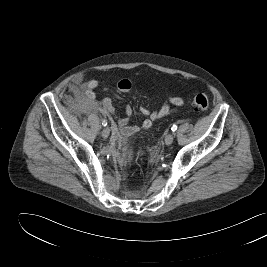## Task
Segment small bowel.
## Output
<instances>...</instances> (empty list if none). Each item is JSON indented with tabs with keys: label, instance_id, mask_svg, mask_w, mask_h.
Listing matches in <instances>:
<instances>
[{
	"label": "small bowel",
	"instance_id": "small-bowel-1",
	"mask_svg": "<svg viewBox=\"0 0 267 267\" xmlns=\"http://www.w3.org/2000/svg\"><path fill=\"white\" fill-rule=\"evenodd\" d=\"M98 86V81L95 79L83 82L80 77L73 80V83L69 85L68 90L75 96H81L85 104L91 110L99 111L103 115L107 116L112 122V128L115 134L120 137H128L141 128L148 129L154 122L175 113V110L171 106L183 107L186 102L184 98L179 96L168 97L158 109L150 110L148 108H140L139 113L146 117L140 126H130L129 121L133 115V109L130 106L125 108V117H119L116 114L115 108L112 104V100L109 97L103 98L100 102L95 101V89ZM132 84L128 79H122L118 82V89L127 93L131 90Z\"/></svg>",
	"mask_w": 267,
	"mask_h": 267
}]
</instances>
